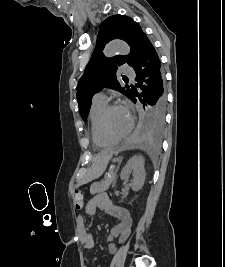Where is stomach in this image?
Instances as JSON below:
<instances>
[{
	"label": "stomach",
	"instance_id": "0dacf381",
	"mask_svg": "<svg viewBox=\"0 0 225 267\" xmlns=\"http://www.w3.org/2000/svg\"><path fill=\"white\" fill-rule=\"evenodd\" d=\"M110 158V154H103L100 156V159L95 163L93 168L94 173L92 174L91 178H97L104 172Z\"/></svg>",
	"mask_w": 225,
	"mask_h": 267
}]
</instances>
